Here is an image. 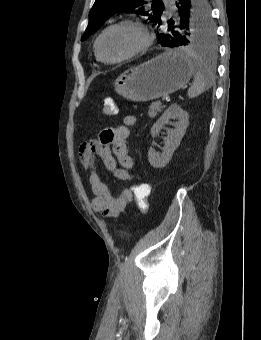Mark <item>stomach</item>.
I'll list each match as a JSON object with an SVG mask.
<instances>
[{"instance_id":"stomach-1","label":"stomach","mask_w":261,"mask_h":340,"mask_svg":"<svg viewBox=\"0 0 261 340\" xmlns=\"http://www.w3.org/2000/svg\"><path fill=\"white\" fill-rule=\"evenodd\" d=\"M193 62L187 56L168 51L130 68L114 82L115 91L133 102H146L169 95L190 80Z\"/></svg>"}]
</instances>
